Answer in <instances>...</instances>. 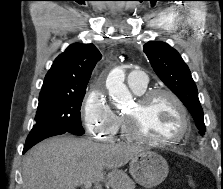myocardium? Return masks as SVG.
I'll list each match as a JSON object with an SVG mask.
<instances>
[{
	"label": "myocardium",
	"instance_id": "1",
	"mask_svg": "<svg viewBox=\"0 0 223 189\" xmlns=\"http://www.w3.org/2000/svg\"><path fill=\"white\" fill-rule=\"evenodd\" d=\"M161 96H166L170 98L173 101V103L176 105V107L178 108L181 114L182 125H181V130L179 134L175 138H171V139H156V138L148 137L142 134L141 131L139 130L135 115L126 114L125 115V130L129 138L139 143H145V144L157 145V146H171V145L178 144L188 135L190 131V126H191L190 115L184 102L174 92L170 90H166V89H153V90L143 92L137 98V105L140 109H143L150 102H152L153 100Z\"/></svg>",
	"mask_w": 223,
	"mask_h": 189
}]
</instances>
